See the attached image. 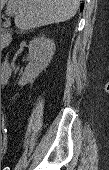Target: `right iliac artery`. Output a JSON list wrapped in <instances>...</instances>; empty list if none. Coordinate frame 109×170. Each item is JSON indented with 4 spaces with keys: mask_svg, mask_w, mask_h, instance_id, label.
<instances>
[{
    "mask_svg": "<svg viewBox=\"0 0 109 170\" xmlns=\"http://www.w3.org/2000/svg\"><path fill=\"white\" fill-rule=\"evenodd\" d=\"M4 170H10V168L9 167H5Z\"/></svg>",
    "mask_w": 109,
    "mask_h": 170,
    "instance_id": "obj_1",
    "label": "right iliac artery"
}]
</instances>
